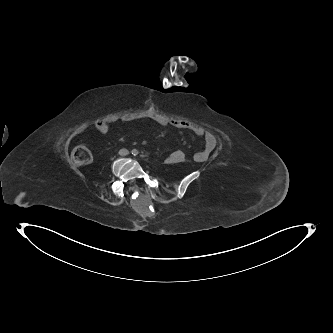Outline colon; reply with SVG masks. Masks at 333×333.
I'll use <instances>...</instances> for the list:
<instances>
[{
    "mask_svg": "<svg viewBox=\"0 0 333 333\" xmlns=\"http://www.w3.org/2000/svg\"><path fill=\"white\" fill-rule=\"evenodd\" d=\"M91 160L92 154L90 150L84 146H77L71 154V161L76 166L89 164ZM164 161L186 162L187 156L182 150H174L164 156Z\"/></svg>",
    "mask_w": 333,
    "mask_h": 333,
    "instance_id": "5ec220e1",
    "label": "colon"
}]
</instances>
